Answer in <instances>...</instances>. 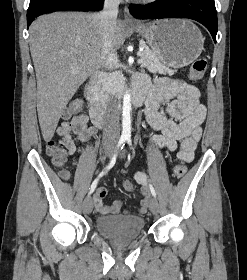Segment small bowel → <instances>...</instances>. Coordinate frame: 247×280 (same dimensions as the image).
Listing matches in <instances>:
<instances>
[{
	"mask_svg": "<svg viewBox=\"0 0 247 280\" xmlns=\"http://www.w3.org/2000/svg\"><path fill=\"white\" fill-rule=\"evenodd\" d=\"M136 87L142 88L148 94L144 127H150L159 134L152 137V143L160 148L170 151L178 149V158L184 162H191L194 150L202 135V123L206 116V108L199 101V90L183 81L169 78H158L153 83L145 75H139L136 79ZM163 101H168V117L159 112V106ZM96 129L88 125L86 115L73 116L64 120L56 129V134L64 144L69 154L76 152V141H87L96 135ZM62 176L69 178V173L64 171ZM136 183L141 186L144 199L138 209L139 213L147 211V178L143 173L134 175ZM107 190L98 188L93 205L100 214H119L122 202L116 200L112 205H106L104 198ZM125 213H128L125 211Z\"/></svg>",
	"mask_w": 247,
	"mask_h": 280,
	"instance_id": "c3829d8e",
	"label": "small bowel"
}]
</instances>
